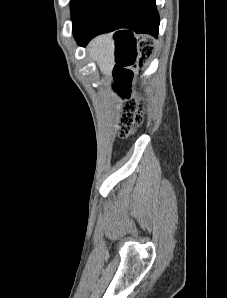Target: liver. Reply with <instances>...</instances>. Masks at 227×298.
I'll list each match as a JSON object with an SVG mask.
<instances>
[{"mask_svg":"<svg viewBox=\"0 0 227 298\" xmlns=\"http://www.w3.org/2000/svg\"><path fill=\"white\" fill-rule=\"evenodd\" d=\"M88 52L97 62L100 71L104 75L110 76L115 65L112 35H100L94 38L88 45Z\"/></svg>","mask_w":227,"mask_h":298,"instance_id":"1","label":"liver"}]
</instances>
